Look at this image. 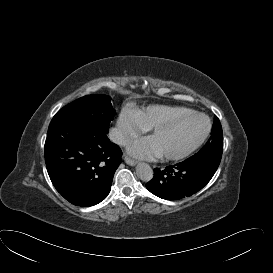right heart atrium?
Masks as SVG:
<instances>
[{
  "label": "right heart atrium",
  "mask_w": 273,
  "mask_h": 273,
  "mask_svg": "<svg viewBox=\"0 0 273 273\" xmlns=\"http://www.w3.org/2000/svg\"><path fill=\"white\" fill-rule=\"evenodd\" d=\"M118 128L120 132L126 137H132L138 131L136 123L131 119L128 114L121 115L118 122Z\"/></svg>",
  "instance_id": "d8ad5b80"
}]
</instances>
